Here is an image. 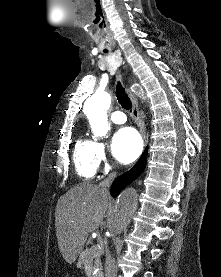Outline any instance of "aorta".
Listing matches in <instances>:
<instances>
[{
	"mask_svg": "<svg viewBox=\"0 0 221 277\" xmlns=\"http://www.w3.org/2000/svg\"><path fill=\"white\" fill-rule=\"evenodd\" d=\"M111 96L107 92L95 93L85 105V113L89 119L92 132L96 136H105L110 129L106 110L110 107ZM137 208L135 189L124 190L115 202V211L107 229L110 234L119 233L131 221Z\"/></svg>",
	"mask_w": 221,
	"mask_h": 277,
	"instance_id": "1",
	"label": "aorta"
}]
</instances>
